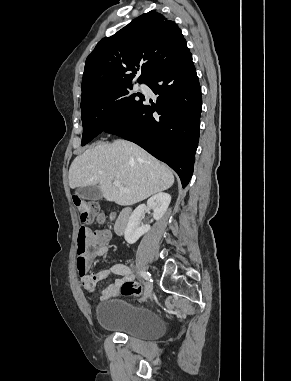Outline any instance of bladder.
Masks as SVG:
<instances>
[{"mask_svg":"<svg viewBox=\"0 0 291 381\" xmlns=\"http://www.w3.org/2000/svg\"><path fill=\"white\" fill-rule=\"evenodd\" d=\"M98 325L107 331L141 340H153L165 332V322L155 311L122 300L106 301L96 308Z\"/></svg>","mask_w":291,"mask_h":381,"instance_id":"31cf9c89","label":"bladder"}]
</instances>
